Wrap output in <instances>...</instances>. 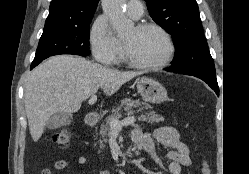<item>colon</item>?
I'll return each mask as SVG.
<instances>
[{
	"instance_id": "1",
	"label": "colon",
	"mask_w": 249,
	"mask_h": 174,
	"mask_svg": "<svg viewBox=\"0 0 249 174\" xmlns=\"http://www.w3.org/2000/svg\"><path fill=\"white\" fill-rule=\"evenodd\" d=\"M72 138V130L69 128H63L53 135L52 140L59 148L65 149L70 146ZM210 172V164L207 160H204L201 167V174H210Z\"/></svg>"
}]
</instances>
